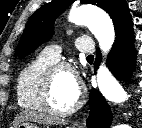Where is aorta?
<instances>
[{
  "label": "aorta",
  "instance_id": "1",
  "mask_svg": "<svg viewBox=\"0 0 142 128\" xmlns=\"http://www.w3.org/2000/svg\"><path fill=\"white\" fill-rule=\"evenodd\" d=\"M68 19L78 25H86L96 37L103 55H107L115 41L112 20L103 11L89 6H81L70 11ZM99 91L104 98L113 103H123L128 99L126 91L102 64L97 71ZM120 128H130L122 125Z\"/></svg>",
  "mask_w": 142,
  "mask_h": 128
}]
</instances>
